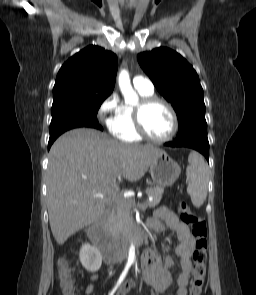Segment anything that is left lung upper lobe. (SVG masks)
I'll use <instances>...</instances> for the list:
<instances>
[{
	"label": "left lung upper lobe",
	"mask_w": 256,
	"mask_h": 295,
	"mask_svg": "<svg viewBox=\"0 0 256 295\" xmlns=\"http://www.w3.org/2000/svg\"><path fill=\"white\" fill-rule=\"evenodd\" d=\"M138 62L158 91L176 111V139L207 136L203 89L193 67L177 52L156 48L137 56Z\"/></svg>",
	"instance_id": "obj_1"
}]
</instances>
